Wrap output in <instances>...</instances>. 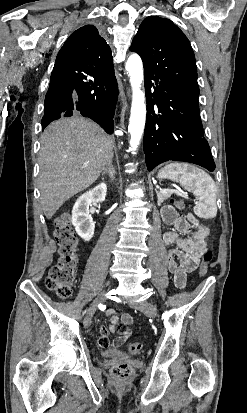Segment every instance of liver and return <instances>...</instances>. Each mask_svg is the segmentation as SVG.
<instances>
[{
	"label": "liver",
	"instance_id": "obj_1",
	"mask_svg": "<svg viewBox=\"0 0 247 413\" xmlns=\"http://www.w3.org/2000/svg\"><path fill=\"white\" fill-rule=\"evenodd\" d=\"M113 146L112 136L80 114L48 124L39 152V190L47 219L65 200L93 184L111 160Z\"/></svg>",
	"mask_w": 247,
	"mask_h": 413
}]
</instances>
